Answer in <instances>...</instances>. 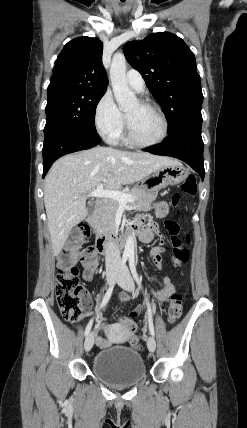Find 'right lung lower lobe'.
Listing matches in <instances>:
<instances>
[{"label":"right lung lower lobe","instance_id":"98d812e1","mask_svg":"<svg viewBox=\"0 0 247 428\" xmlns=\"http://www.w3.org/2000/svg\"><path fill=\"white\" fill-rule=\"evenodd\" d=\"M44 133L43 178L51 165L61 156L92 148L101 142L97 133H86L71 128H54Z\"/></svg>","mask_w":247,"mask_h":428}]
</instances>
